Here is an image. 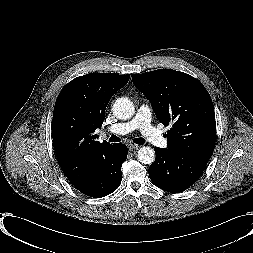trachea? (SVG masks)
I'll return each instance as SVG.
<instances>
[{
	"label": "trachea",
	"mask_w": 253,
	"mask_h": 253,
	"mask_svg": "<svg viewBox=\"0 0 253 253\" xmlns=\"http://www.w3.org/2000/svg\"><path fill=\"white\" fill-rule=\"evenodd\" d=\"M121 139L119 137H117L116 135H112L109 138V142H120ZM133 142L138 144V145H143L145 143V139L140 137V138H135L133 139Z\"/></svg>",
	"instance_id": "1"
}]
</instances>
